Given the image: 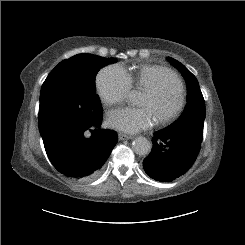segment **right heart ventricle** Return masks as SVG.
Instances as JSON below:
<instances>
[{
	"instance_id": "1",
	"label": "right heart ventricle",
	"mask_w": 245,
	"mask_h": 245,
	"mask_svg": "<svg viewBox=\"0 0 245 245\" xmlns=\"http://www.w3.org/2000/svg\"><path fill=\"white\" fill-rule=\"evenodd\" d=\"M168 70L159 65H143L135 72H127L132 84H135L139 89L146 90L149 87L155 86L160 82V78L164 71ZM179 79V87L183 90L182 81Z\"/></svg>"
}]
</instances>
